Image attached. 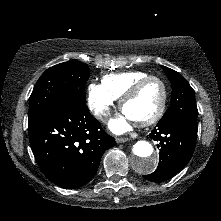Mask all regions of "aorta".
Listing matches in <instances>:
<instances>
[{"label":"aorta","mask_w":221,"mask_h":221,"mask_svg":"<svg viewBox=\"0 0 221 221\" xmlns=\"http://www.w3.org/2000/svg\"><path fill=\"white\" fill-rule=\"evenodd\" d=\"M132 167L135 171L142 174L152 173L158 164V157L153 146L145 141H137L133 147Z\"/></svg>","instance_id":"762f6f07"}]
</instances>
